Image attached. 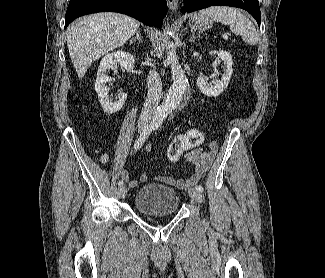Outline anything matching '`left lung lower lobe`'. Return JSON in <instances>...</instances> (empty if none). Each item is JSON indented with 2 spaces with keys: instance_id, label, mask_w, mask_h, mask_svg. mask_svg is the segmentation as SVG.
<instances>
[{
  "instance_id": "0a47b994",
  "label": "left lung lower lobe",
  "mask_w": 325,
  "mask_h": 278,
  "mask_svg": "<svg viewBox=\"0 0 325 278\" xmlns=\"http://www.w3.org/2000/svg\"><path fill=\"white\" fill-rule=\"evenodd\" d=\"M226 5L239 7L248 11L257 21L259 27L261 22V13L258 0H185L181 12H193L210 6Z\"/></svg>"
}]
</instances>
